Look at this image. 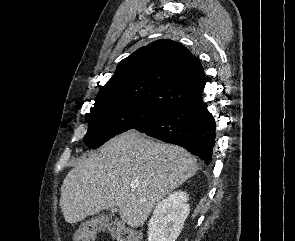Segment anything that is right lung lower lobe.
I'll use <instances>...</instances> for the list:
<instances>
[{"label":"right lung lower lobe","instance_id":"right-lung-lower-lobe-1","mask_svg":"<svg viewBox=\"0 0 295 241\" xmlns=\"http://www.w3.org/2000/svg\"><path fill=\"white\" fill-rule=\"evenodd\" d=\"M216 123L203 102L202 95L168 108L154 120L136 128L139 132L164 142L180 145L212 162Z\"/></svg>","mask_w":295,"mask_h":241}]
</instances>
